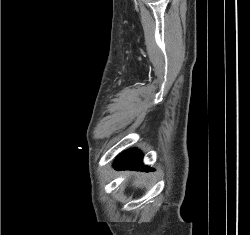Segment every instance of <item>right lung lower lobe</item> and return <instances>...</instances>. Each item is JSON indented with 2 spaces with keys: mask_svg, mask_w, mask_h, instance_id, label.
Here are the masks:
<instances>
[{
  "mask_svg": "<svg viewBox=\"0 0 250 235\" xmlns=\"http://www.w3.org/2000/svg\"><path fill=\"white\" fill-rule=\"evenodd\" d=\"M142 155L143 154L136 149L124 151L115 159V168L124 169L139 166L142 169H146V166L142 164Z\"/></svg>",
  "mask_w": 250,
  "mask_h": 235,
  "instance_id": "right-lung-lower-lobe-1",
  "label": "right lung lower lobe"
}]
</instances>
